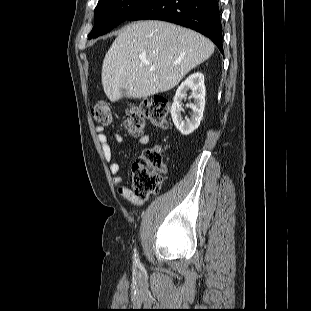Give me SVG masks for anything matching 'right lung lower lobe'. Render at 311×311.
Segmentation results:
<instances>
[{
	"instance_id": "1",
	"label": "right lung lower lobe",
	"mask_w": 311,
	"mask_h": 311,
	"mask_svg": "<svg viewBox=\"0 0 311 311\" xmlns=\"http://www.w3.org/2000/svg\"><path fill=\"white\" fill-rule=\"evenodd\" d=\"M155 19L191 28L209 37L223 54L218 0H154L127 20Z\"/></svg>"
}]
</instances>
